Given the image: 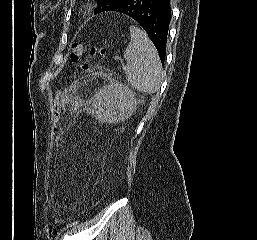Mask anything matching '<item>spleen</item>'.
Returning a JSON list of instances; mask_svg holds the SVG:
<instances>
[{
    "instance_id": "spleen-1",
    "label": "spleen",
    "mask_w": 257,
    "mask_h": 240,
    "mask_svg": "<svg viewBox=\"0 0 257 240\" xmlns=\"http://www.w3.org/2000/svg\"><path fill=\"white\" fill-rule=\"evenodd\" d=\"M130 34L131 41L124 52L128 83L139 92L155 93L163 80L158 52L148 35L138 27L130 26Z\"/></svg>"
}]
</instances>
